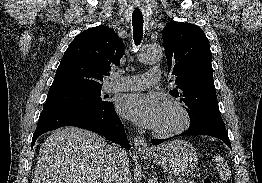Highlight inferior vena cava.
Instances as JSON below:
<instances>
[{"label": "inferior vena cava", "mask_w": 262, "mask_h": 183, "mask_svg": "<svg viewBox=\"0 0 262 183\" xmlns=\"http://www.w3.org/2000/svg\"><path fill=\"white\" fill-rule=\"evenodd\" d=\"M108 165L113 183H132L129 161L125 150L109 145Z\"/></svg>", "instance_id": "1"}]
</instances>
